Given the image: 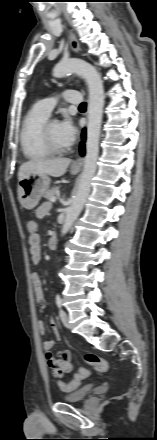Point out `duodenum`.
Listing matches in <instances>:
<instances>
[{
    "instance_id": "duodenum-1",
    "label": "duodenum",
    "mask_w": 157,
    "mask_h": 440,
    "mask_svg": "<svg viewBox=\"0 0 157 440\" xmlns=\"http://www.w3.org/2000/svg\"><path fill=\"white\" fill-rule=\"evenodd\" d=\"M57 244V236L55 234H53L52 236H50L49 240H48V246L50 248H54Z\"/></svg>"
}]
</instances>
